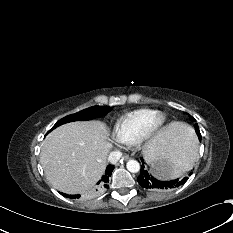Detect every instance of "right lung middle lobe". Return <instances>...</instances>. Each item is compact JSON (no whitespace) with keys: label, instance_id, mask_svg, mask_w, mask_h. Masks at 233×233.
I'll return each mask as SVG.
<instances>
[{"label":"right lung middle lobe","instance_id":"1","mask_svg":"<svg viewBox=\"0 0 233 233\" xmlns=\"http://www.w3.org/2000/svg\"><path fill=\"white\" fill-rule=\"evenodd\" d=\"M109 110H110L109 106L90 107V108L85 109L83 111H80L76 114L69 115V116L62 118L53 126V128L51 130L55 129L56 127H58L62 124L68 123V122L79 121V120H81V121L90 120V119H93V118H96L99 116H103V115L107 114L109 112Z\"/></svg>","mask_w":233,"mask_h":233}]
</instances>
